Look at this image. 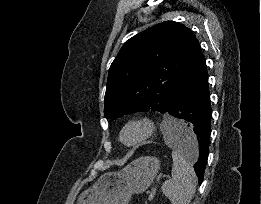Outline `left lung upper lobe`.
I'll list each match as a JSON object with an SVG mask.
<instances>
[{"instance_id":"left-lung-upper-lobe-1","label":"left lung upper lobe","mask_w":261,"mask_h":204,"mask_svg":"<svg viewBox=\"0 0 261 204\" xmlns=\"http://www.w3.org/2000/svg\"><path fill=\"white\" fill-rule=\"evenodd\" d=\"M197 44L189 28L173 21L130 38L109 69L105 117L116 119L149 109L165 112Z\"/></svg>"}]
</instances>
